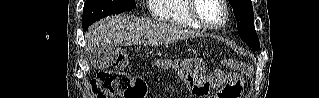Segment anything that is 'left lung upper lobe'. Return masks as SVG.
<instances>
[{"label":"left lung upper lobe","instance_id":"left-lung-upper-lobe-1","mask_svg":"<svg viewBox=\"0 0 319 98\" xmlns=\"http://www.w3.org/2000/svg\"><path fill=\"white\" fill-rule=\"evenodd\" d=\"M237 20L241 39L252 48L258 50L259 40L254 29V14L251 0H229Z\"/></svg>","mask_w":319,"mask_h":98}]
</instances>
